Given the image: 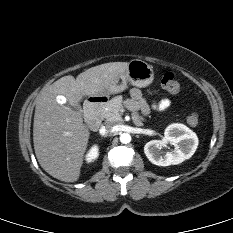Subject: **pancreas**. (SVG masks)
Instances as JSON below:
<instances>
[{
  "mask_svg": "<svg viewBox=\"0 0 233 233\" xmlns=\"http://www.w3.org/2000/svg\"><path fill=\"white\" fill-rule=\"evenodd\" d=\"M122 110V96H116L108 102L106 109L101 113V117L108 123H118L122 121Z\"/></svg>",
  "mask_w": 233,
  "mask_h": 233,
  "instance_id": "pancreas-1",
  "label": "pancreas"
}]
</instances>
